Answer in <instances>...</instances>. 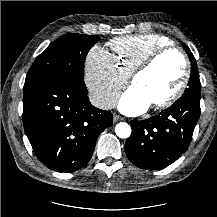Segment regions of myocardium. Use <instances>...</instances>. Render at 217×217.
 I'll return each instance as SVG.
<instances>
[{
    "mask_svg": "<svg viewBox=\"0 0 217 217\" xmlns=\"http://www.w3.org/2000/svg\"><path fill=\"white\" fill-rule=\"evenodd\" d=\"M169 53H176L181 57L184 65L182 79L177 89L170 96L151 104L152 108L154 109H163L171 106L185 93L191 76V65L187 54L182 48L177 46L169 45L162 47L154 51L148 58H146L142 63H140L130 75V84L133 86L135 80L141 74L150 69L161 57Z\"/></svg>",
    "mask_w": 217,
    "mask_h": 217,
    "instance_id": "f54148a6",
    "label": "myocardium"
}]
</instances>
